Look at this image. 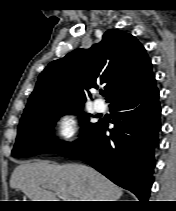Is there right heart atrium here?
<instances>
[{"label":"right heart atrium","instance_id":"right-heart-atrium-1","mask_svg":"<svg viewBox=\"0 0 176 211\" xmlns=\"http://www.w3.org/2000/svg\"><path fill=\"white\" fill-rule=\"evenodd\" d=\"M53 128L62 143L71 145L79 139L81 120L74 111H64L54 120Z\"/></svg>","mask_w":176,"mask_h":211}]
</instances>
